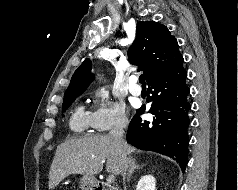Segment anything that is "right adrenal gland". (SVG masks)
I'll return each mask as SVG.
<instances>
[{"mask_svg":"<svg viewBox=\"0 0 238 190\" xmlns=\"http://www.w3.org/2000/svg\"><path fill=\"white\" fill-rule=\"evenodd\" d=\"M128 163H129V170H128L127 182H130L132 173H134L135 170L141 169L144 165H138L135 158H129Z\"/></svg>","mask_w":238,"mask_h":190,"instance_id":"1","label":"right adrenal gland"}]
</instances>
